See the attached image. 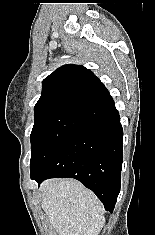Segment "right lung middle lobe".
Returning a JSON list of instances; mask_svg holds the SVG:
<instances>
[{"instance_id":"obj_1","label":"right lung middle lobe","mask_w":155,"mask_h":235,"mask_svg":"<svg viewBox=\"0 0 155 235\" xmlns=\"http://www.w3.org/2000/svg\"><path fill=\"white\" fill-rule=\"evenodd\" d=\"M31 139V172L43 169L55 154L90 123L58 111L35 113Z\"/></svg>"}]
</instances>
